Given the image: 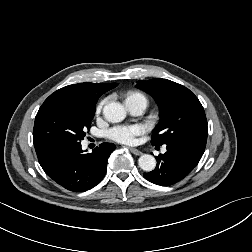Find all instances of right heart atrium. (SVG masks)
<instances>
[{
  "label": "right heart atrium",
  "instance_id": "obj_1",
  "mask_svg": "<svg viewBox=\"0 0 252 252\" xmlns=\"http://www.w3.org/2000/svg\"><path fill=\"white\" fill-rule=\"evenodd\" d=\"M104 104H105V101H101V102L97 105V107H96V113H97V114L101 112V110H102Z\"/></svg>",
  "mask_w": 252,
  "mask_h": 252
}]
</instances>
